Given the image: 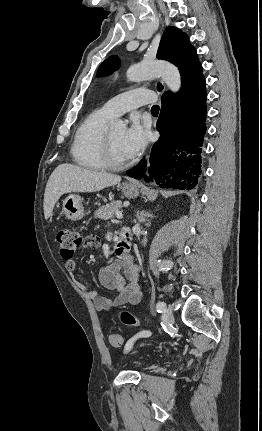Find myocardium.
I'll return each mask as SVG.
<instances>
[{
    "label": "myocardium",
    "instance_id": "obj_1",
    "mask_svg": "<svg viewBox=\"0 0 262 431\" xmlns=\"http://www.w3.org/2000/svg\"><path fill=\"white\" fill-rule=\"evenodd\" d=\"M103 157L105 165L110 169H125L130 166V161H119L116 159L110 138V130H107L103 140Z\"/></svg>",
    "mask_w": 262,
    "mask_h": 431
}]
</instances>
